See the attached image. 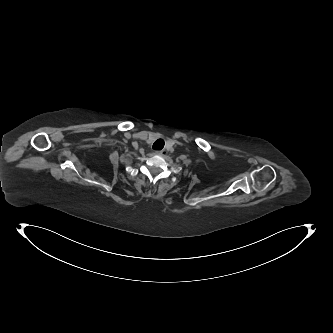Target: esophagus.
<instances>
[{
	"label": "esophagus",
	"mask_w": 333,
	"mask_h": 333,
	"mask_svg": "<svg viewBox=\"0 0 333 333\" xmlns=\"http://www.w3.org/2000/svg\"><path fill=\"white\" fill-rule=\"evenodd\" d=\"M165 153V150H157L155 151V154H158V155H163Z\"/></svg>",
	"instance_id": "34e87169"
}]
</instances>
